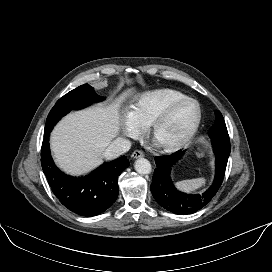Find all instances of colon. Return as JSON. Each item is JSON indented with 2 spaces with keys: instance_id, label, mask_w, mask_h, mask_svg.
Listing matches in <instances>:
<instances>
[{
  "instance_id": "1",
  "label": "colon",
  "mask_w": 272,
  "mask_h": 272,
  "mask_svg": "<svg viewBox=\"0 0 272 272\" xmlns=\"http://www.w3.org/2000/svg\"><path fill=\"white\" fill-rule=\"evenodd\" d=\"M207 152H208V147L207 146H203L199 151L200 155H202V156L206 155Z\"/></svg>"
}]
</instances>
